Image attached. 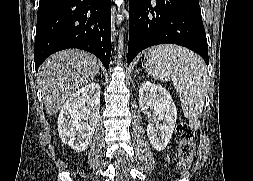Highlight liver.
<instances>
[{
    "label": "liver",
    "mask_w": 253,
    "mask_h": 181,
    "mask_svg": "<svg viewBox=\"0 0 253 181\" xmlns=\"http://www.w3.org/2000/svg\"><path fill=\"white\" fill-rule=\"evenodd\" d=\"M98 59L85 51L69 49L49 57L38 72L46 112L56 114L67 98L95 78Z\"/></svg>",
    "instance_id": "liver-1"
}]
</instances>
